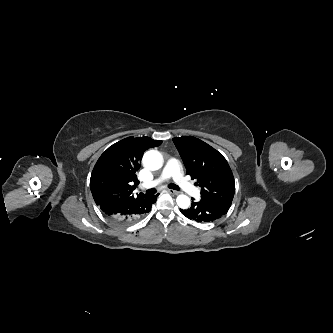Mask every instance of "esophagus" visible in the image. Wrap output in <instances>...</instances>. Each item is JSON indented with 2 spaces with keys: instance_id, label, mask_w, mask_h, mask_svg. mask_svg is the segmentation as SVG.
Listing matches in <instances>:
<instances>
[{
  "instance_id": "obj_1",
  "label": "esophagus",
  "mask_w": 333,
  "mask_h": 333,
  "mask_svg": "<svg viewBox=\"0 0 333 333\" xmlns=\"http://www.w3.org/2000/svg\"><path fill=\"white\" fill-rule=\"evenodd\" d=\"M167 192L170 193V194H173V195H178V194H180L179 191H175V190H172V189H168Z\"/></svg>"
}]
</instances>
